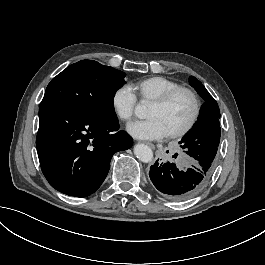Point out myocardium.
I'll list each match as a JSON object with an SVG mask.
<instances>
[{
  "label": "myocardium",
  "mask_w": 265,
  "mask_h": 265,
  "mask_svg": "<svg viewBox=\"0 0 265 265\" xmlns=\"http://www.w3.org/2000/svg\"><path fill=\"white\" fill-rule=\"evenodd\" d=\"M181 94L187 95L191 99L193 104L192 114L189 122L183 128H181L178 131L166 134L168 138H179L185 136L193 129L201 113L200 100L197 94L192 89L187 87H179L166 93L165 95H163L162 97L151 103L153 106L157 108H163L166 105H168L175 97Z\"/></svg>",
  "instance_id": "myocardium-1"
}]
</instances>
